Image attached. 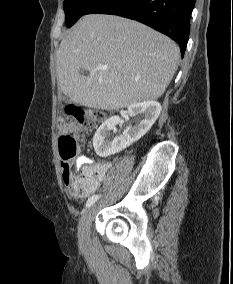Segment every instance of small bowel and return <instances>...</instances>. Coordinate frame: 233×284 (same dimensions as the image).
Segmentation results:
<instances>
[{
    "mask_svg": "<svg viewBox=\"0 0 233 284\" xmlns=\"http://www.w3.org/2000/svg\"><path fill=\"white\" fill-rule=\"evenodd\" d=\"M76 162L82 167L85 173L90 174L93 178L94 187L91 193L100 186L111 168V164L108 162H92L89 158L83 155L79 156Z\"/></svg>",
    "mask_w": 233,
    "mask_h": 284,
    "instance_id": "1",
    "label": "small bowel"
}]
</instances>
